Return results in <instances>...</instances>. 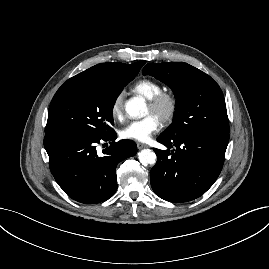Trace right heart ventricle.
Returning a JSON list of instances; mask_svg holds the SVG:
<instances>
[{
    "label": "right heart ventricle",
    "mask_w": 269,
    "mask_h": 269,
    "mask_svg": "<svg viewBox=\"0 0 269 269\" xmlns=\"http://www.w3.org/2000/svg\"><path fill=\"white\" fill-rule=\"evenodd\" d=\"M132 91L145 99L150 100L162 92V87L158 82L152 79L143 78L133 84Z\"/></svg>",
    "instance_id": "e07e8e85"
}]
</instances>
